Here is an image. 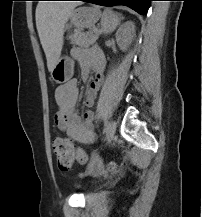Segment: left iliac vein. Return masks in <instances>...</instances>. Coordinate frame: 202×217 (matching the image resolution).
Instances as JSON below:
<instances>
[{"label":"left iliac vein","instance_id":"left-iliac-vein-1","mask_svg":"<svg viewBox=\"0 0 202 217\" xmlns=\"http://www.w3.org/2000/svg\"><path fill=\"white\" fill-rule=\"evenodd\" d=\"M116 131V123L113 120H110L108 122H106L105 124V140L107 142H111V140L114 137ZM93 163L95 162V158L92 160Z\"/></svg>","mask_w":202,"mask_h":217}]
</instances>
